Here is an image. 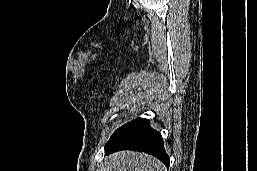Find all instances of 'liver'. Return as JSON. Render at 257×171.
<instances>
[{"label":"liver","mask_w":257,"mask_h":171,"mask_svg":"<svg viewBox=\"0 0 257 171\" xmlns=\"http://www.w3.org/2000/svg\"><path fill=\"white\" fill-rule=\"evenodd\" d=\"M113 171H166L156 158L141 152L121 151L111 156Z\"/></svg>","instance_id":"obj_1"}]
</instances>
